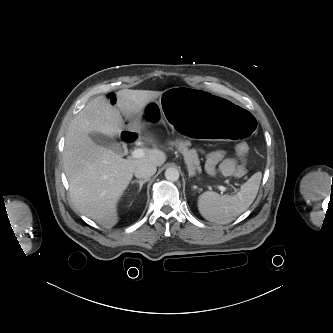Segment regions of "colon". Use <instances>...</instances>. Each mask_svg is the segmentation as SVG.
Listing matches in <instances>:
<instances>
[{
    "label": "colon",
    "instance_id": "1",
    "mask_svg": "<svg viewBox=\"0 0 333 333\" xmlns=\"http://www.w3.org/2000/svg\"><path fill=\"white\" fill-rule=\"evenodd\" d=\"M248 151H249V147L246 143H240L236 147V153H237L238 157L242 160L246 159V157L248 155ZM246 173H247V169L244 164L239 165L235 169V172H234L236 177H243L246 175Z\"/></svg>",
    "mask_w": 333,
    "mask_h": 333
}]
</instances>
